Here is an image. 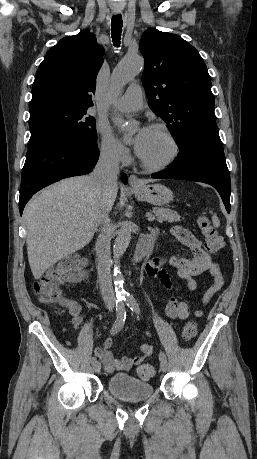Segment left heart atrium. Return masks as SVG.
<instances>
[{
    "label": "left heart atrium",
    "instance_id": "1",
    "mask_svg": "<svg viewBox=\"0 0 257 459\" xmlns=\"http://www.w3.org/2000/svg\"><path fill=\"white\" fill-rule=\"evenodd\" d=\"M149 127H142L137 136H136V139H135V149L137 151V153L139 154L143 148V145L145 143V140L148 136V133H149Z\"/></svg>",
    "mask_w": 257,
    "mask_h": 459
}]
</instances>
